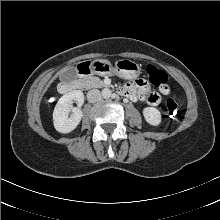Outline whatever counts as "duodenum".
Here are the masks:
<instances>
[{
    "instance_id": "duodenum-1",
    "label": "duodenum",
    "mask_w": 220,
    "mask_h": 220,
    "mask_svg": "<svg viewBox=\"0 0 220 220\" xmlns=\"http://www.w3.org/2000/svg\"><path fill=\"white\" fill-rule=\"evenodd\" d=\"M91 70H92L91 65L88 63H83L78 66V74L80 76H84V75L89 74L91 72ZM75 87H76V85L74 82L65 81L60 84L59 90L62 93H68V92L73 91L75 89ZM120 94L125 96V92L122 90L120 91Z\"/></svg>"
}]
</instances>
